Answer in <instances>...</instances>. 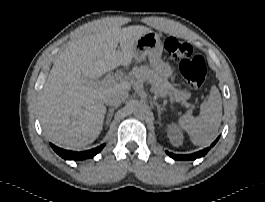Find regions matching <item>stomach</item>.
Here are the masks:
<instances>
[{
  "instance_id": "0dacf381",
  "label": "stomach",
  "mask_w": 265,
  "mask_h": 202,
  "mask_svg": "<svg viewBox=\"0 0 265 202\" xmlns=\"http://www.w3.org/2000/svg\"><path fill=\"white\" fill-rule=\"evenodd\" d=\"M162 52L163 43L159 35L153 31L140 36L134 46V58L141 61L147 57L152 69L166 80L172 76L173 70L168 63L162 60ZM169 95L170 99L175 102H179L183 98L180 92L174 88L170 90Z\"/></svg>"
}]
</instances>
